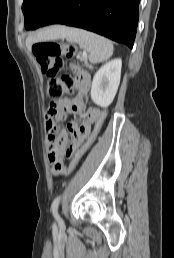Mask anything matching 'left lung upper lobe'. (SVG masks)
<instances>
[{
    "instance_id": "1",
    "label": "left lung upper lobe",
    "mask_w": 174,
    "mask_h": 258,
    "mask_svg": "<svg viewBox=\"0 0 174 258\" xmlns=\"http://www.w3.org/2000/svg\"><path fill=\"white\" fill-rule=\"evenodd\" d=\"M63 0H24L22 11L25 28L36 29L53 13Z\"/></svg>"
}]
</instances>
